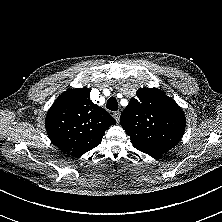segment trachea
<instances>
[{"mask_svg": "<svg viewBox=\"0 0 222 222\" xmlns=\"http://www.w3.org/2000/svg\"><path fill=\"white\" fill-rule=\"evenodd\" d=\"M106 108L110 111L118 110V102L115 97H110L106 103Z\"/></svg>", "mask_w": 222, "mask_h": 222, "instance_id": "trachea-1", "label": "trachea"}]
</instances>
